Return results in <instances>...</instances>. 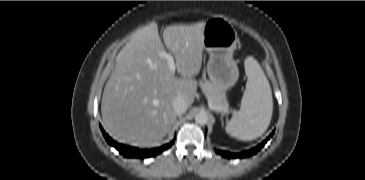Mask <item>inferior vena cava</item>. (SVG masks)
I'll use <instances>...</instances> for the list:
<instances>
[{"mask_svg":"<svg viewBox=\"0 0 365 180\" xmlns=\"http://www.w3.org/2000/svg\"><path fill=\"white\" fill-rule=\"evenodd\" d=\"M187 108L188 105L181 96H177L173 99V109L177 115L185 113Z\"/></svg>","mask_w":365,"mask_h":180,"instance_id":"obj_1","label":"inferior vena cava"}]
</instances>
